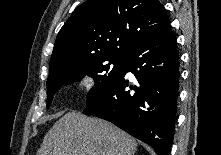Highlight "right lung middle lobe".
<instances>
[{
	"label": "right lung middle lobe",
	"instance_id": "dd1d6c3e",
	"mask_svg": "<svg viewBox=\"0 0 221 155\" xmlns=\"http://www.w3.org/2000/svg\"><path fill=\"white\" fill-rule=\"evenodd\" d=\"M126 57H106L95 60H83L75 62L65 68L49 74L47 80V107L50 106L54 94L64 84L81 80L85 75L95 81V89L87 96V104L102 94L118 77L124 65Z\"/></svg>",
	"mask_w": 221,
	"mask_h": 155
}]
</instances>
